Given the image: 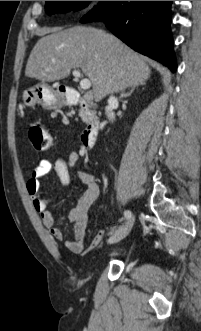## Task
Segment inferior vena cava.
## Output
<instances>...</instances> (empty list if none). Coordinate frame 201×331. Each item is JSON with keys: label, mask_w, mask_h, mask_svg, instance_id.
Here are the masks:
<instances>
[{"label": "inferior vena cava", "mask_w": 201, "mask_h": 331, "mask_svg": "<svg viewBox=\"0 0 201 331\" xmlns=\"http://www.w3.org/2000/svg\"><path fill=\"white\" fill-rule=\"evenodd\" d=\"M115 104H117V98L114 96H110L108 99V105L105 107V113L111 122L115 120V113L113 112V106Z\"/></svg>", "instance_id": "602c4592"}]
</instances>
